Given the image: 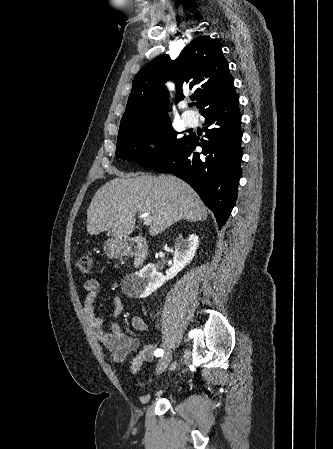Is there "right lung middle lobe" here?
<instances>
[{"instance_id":"dd1d6c3e","label":"right lung middle lobe","mask_w":333,"mask_h":449,"mask_svg":"<svg viewBox=\"0 0 333 449\" xmlns=\"http://www.w3.org/2000/svg\"><path fill=\"white\" fill-rule=\"evenodd\" d=\"M124 134L127 136L117 140L116 157L152 169L168 159L188 138L178 137L179 132L172 128L170 121ZM149 143L156 144V149L149 151Z\"/></svg>"}]
</instances>
